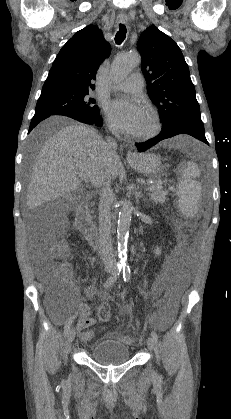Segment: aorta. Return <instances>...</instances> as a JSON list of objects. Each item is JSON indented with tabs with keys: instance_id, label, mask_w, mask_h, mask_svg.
I'll list each match as a JSON object with an SVG mask.
<instances>
[{
	"instance_id": "aorta-1",
	"label": "aorta",
	"mask_w": 231,
	"mask_h": 419,
	"mask_svg": "<svg viewBox=\"0 0 231 419\" xmlns=\"http://www.w3.org/2000/svg\"><path fill=\"white\" fill-rule=\"evenodd\" d=\"M141 63L140 55L127 54L117 56L113 63L111 74L115 80H121L126 78L129 73ZM133 206L128 200L122 205L119 212L118 223H117V240H118V256L120 259V265L126 266L127 259V241L129 236V230L131 225Z\"/></svg>"
}]
</instances>
